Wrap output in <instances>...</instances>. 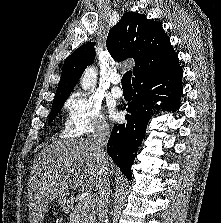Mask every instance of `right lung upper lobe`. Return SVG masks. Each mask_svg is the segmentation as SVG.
<instances>
[{"mask_svg": "<svg viewBox=\"0 0 221 223\" xmlns=\"http://www.w3.org/2000/svg\"><path fill=\"white\" fill-rule=\"evenodd\" d=\"M107 50L114 60H135L133 83L165 74L178 66V56L162 24L144 14L127 12L108 33ZM95 58L94 43L76 49L64 62L54 100L67 98L83 71Z\"/></svg>", "mask_w": 221, "mask_h": 223, "instance_id": "right-lung-upper-lobe-1", "label": "right lung upper lobe"}]
</instances>
